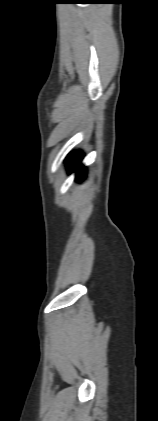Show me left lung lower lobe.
<instances>
[{
  "label": "left lung lower lobe",
  "instance_id": "obj_1",
  "mask_svg": "<svg viewBox=\"0 0 158 421\" xmlns=\"http://www.w3.org/2000/svg\"><path fill=\"white\" fill-rule=\"evenodd\" d=\"M83 157V153L81 152H76L74 154H71L68 158H67V166L69 171H74L77 170V178L82 179L84 177V171L85 168L83 166H81V160Z\"/></svg>",
  "mask_w": 158,
  "mask_h": 421
}]
</instances>
